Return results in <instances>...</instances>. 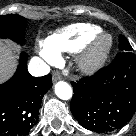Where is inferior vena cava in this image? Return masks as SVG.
<instances>
[{
  "label": "inferior vena cava",
  "mask_w": 136,
  "mask_h": 136,
  "mask_svg": "<svg viewBox=\"0 0 136 136\" xmlns=\"http://www.w3.org/2000/svg\"><path fill=\"white\" fill-rule=\"evenodd\" d=\"M28 71L32 76H44L49 73V67L39 57H33L28 65Z\"/></svg>",
  "instance_id": "inferior-vena-cava-1"
}]
</instances>
